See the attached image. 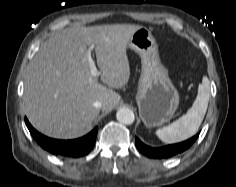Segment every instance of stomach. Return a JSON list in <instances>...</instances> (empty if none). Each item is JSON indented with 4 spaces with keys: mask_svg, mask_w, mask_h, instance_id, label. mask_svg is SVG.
<instances>
[{
    "mask_svg": "<svg viewBox=\"0 0 236 187\" xmlns=\"http://www.w3.org/2000/svg\"><path fill=\"white\" fill-rule=\"evenodd\" d=\"M128 47L139 54L142 64L136 94L139 114L146 127L161 126L173 117L179 104L178 92L160 61L158 46L150 30L138 29Z\"/></svg>",
    "mask_w": 236,
    "mask_h": 187,
    "instance_id": "1",
    "label": "stomach"
}]
</instances>
